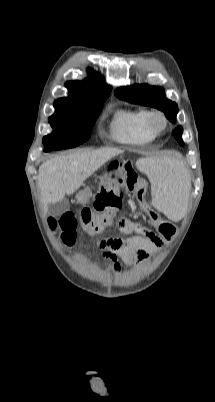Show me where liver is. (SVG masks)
I'll use <instances>...</instances> for the list:
<instances>
[{"instance_id": "liver-1", "label": "liver", "mask_w": 215, "mask_h": 402, "mask_svg": "<svg viewBox=\"0 0 215 402\" xmlns=\"http://www.w3.org/2000/svg\"><path fill=\"white\" fill-rule=\"evenodd\" d=\"M122 152L117 148H103L57 156L43 162L38 171V187L44 209L48 204L72 195L95 171Z\"/></svg>"}]
</instances>
